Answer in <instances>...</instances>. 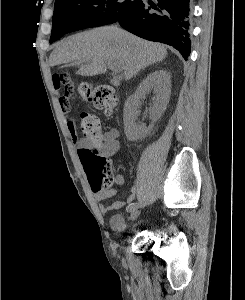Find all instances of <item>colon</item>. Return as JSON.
I'll return each mask as SVG.
<instances>
[{
  "label": "colon",
  "instance_id": "colon-1",
  "mask_svg": "<svg viewBox=\"0 0 245 300\" xmlns=\"http://www.w3.org/2000/svg\"><path fill=\"white\" fill-rule=\"evenodd\" d=\"M52 82L55 89L63 88L66 94L73 92V81L68 73L54 74ZM78 91L84 100L93 103L107 114L112 112L117 103L114 89L108 85L92 88L88 83H81ZM80 127L83 137L90 143V147L81 148L78 152L79 157L92 189L99 192L114 182V176L109 170L108 159L100 156L97 151L102 136L99 119L92 113L82 112Z\"/></svg>",
  "mask_w": 245,
  "mask_h": 300
}]
</instances>
